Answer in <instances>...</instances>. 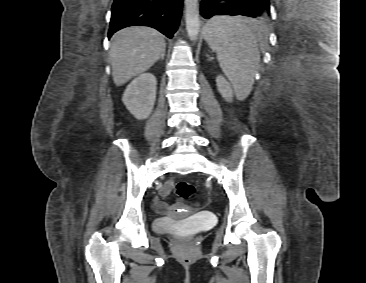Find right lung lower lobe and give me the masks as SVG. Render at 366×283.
<instances>
[{
  "label": "right lung lower lobe",
  "mask_w": 366,
  "mask_h": 283,
  "mask_svg": "<svg viewBox=\"0 0 366 283\" xmlns=\"http://www.w3.org/2000/svg\"><path fill=\"white\" fill-rule=\"evenodd\" d=\"M183 0H114L108 38L129 26L153 27L169 38L179 25Z\"/></svg>",
  "instance_id": "obj_1"
}]
</instances>
